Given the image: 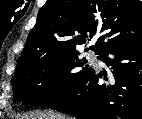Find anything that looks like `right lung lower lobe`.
Returning a JSON list of instances; mask_svg holds the SVG:
<instances>
[{
	"mask_svg": "<svg viewBox=\"0 0 142 119\" xmlns=\"http://www.w3.org/2000/svg\"><path fill=\"white\" fill-rule=\"evenodd\" d=\"M111 72L91 71L79 87L50 105L79 119H142V38L99 54ZM109 79L101 84L99 79Z\"/></svg>",
	"mask_w": 142,
	"mask_h": 119,
	"instance_id": "98d812e1",
	"label": "right lung lower lobe"
}]
</instances>
